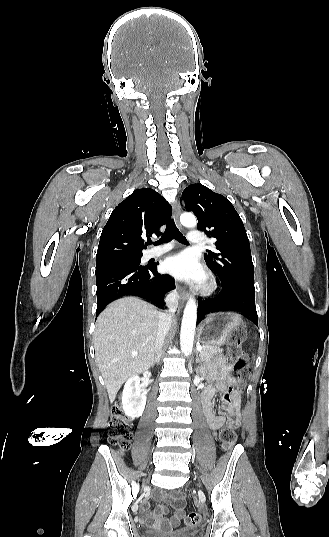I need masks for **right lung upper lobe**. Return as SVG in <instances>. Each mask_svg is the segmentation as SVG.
<instances>
[{
    "label": "right lung upper lobe",
    "instance_id": "right-lung-upper-lobe-1",
    "mask_svg": "<svg viewBox=\"0 0 329 537\" xmlns=\"http://www.w3.org/2000/svg\"><path fill=\"white\" fill-rule=\"evenodd\" d=\"M172 208L155 190L136 189L112 212L103 228L96 264L141 257L144 237L159 236Z\"/></svg>",
    "mask_w": 329,
    "mask_h": 537
}]
</instances>
